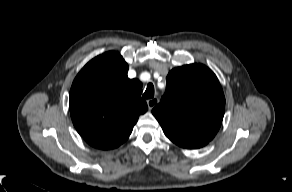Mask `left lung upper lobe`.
Returning a JSON list of instances; mask_svg holds the SVG:
<instances>
[{
    "label": "left lung upper lobe",
    "instance_id": "left-lung-upper-lobe-1",
    "mask_svg": "<svg viewBox=\"0 0 292 192\" xmlns=\"http://www.w3.org/2000/svg\"><path fill=\"white\" fill-rule=\"evenodd\" d=\"M160 103L152 113L165 135L187 149L205 146L218 132L225 98L216 75L205 65L172 69Z\"/></svg>",
    "mask_w": 292,
    "mask_h": 192
}]
</instances>
